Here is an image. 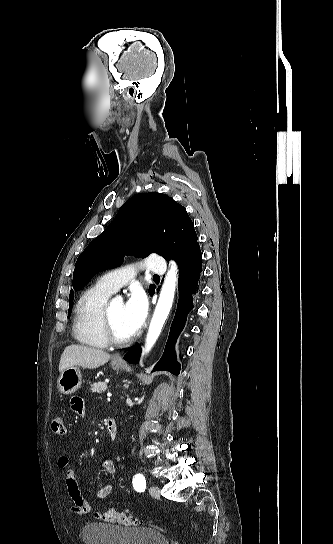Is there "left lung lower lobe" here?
Returning a JSON list of instances; mask_svg holds the SVG:
<instances>
[{
  "mask_svg": "<svg viewBox=\"0 0 333 544\" xmlns=\"http://www.w3.org/2000/svg\"><path fill=\"white\" fill-rule=\"evenodd\" d=\"M202 254L199 246L193 249L184 260L178 263L179 268V301L174 320L171 324L169 338L166 343L164 355L154 370H166L175 375L179 374L180 365L175 361L173 346L179 333L182 331L187 315L193 308V302L197 299L200 290L202 272ZM158 291V289H157ZM155 291L150 294L151 296ZM141 348L132 347L124 359L129 363H138Z\"/></svg>",
  "mask_w": 333,
  "mask_h": 544,
  "instance_id": "obj_1",
  "label": "left lung lower lobe"
}]
</instances>
